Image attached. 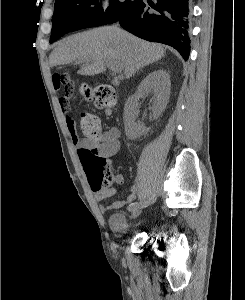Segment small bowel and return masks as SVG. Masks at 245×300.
Segmentation results:
<instances>
[{"label":"small bowel","mask_w":245,"mask_h":300,"mask_svg":"<svg viewBox=\"0 0 245 300\" xmlns=\"http://www.w3.org/2000/svg\"><path fill=\"white\" fill-rule=\"evenodd\" d=\"M59 103H60L61 110L64 114L66 127L70 134L72 144L77 148V152L79 155L80 149L90 148L92 144L85 139H80L79 136L77 135L76 122L72 117V115L70 114L69 104L66 97H61ZM120 145H121L120 131L116 127H111L101 134L100 142L97 146L98 155L108 160L109 158H111L112 156L118 153L120 149ZM113 179L117 184H122L124 181L123 175L120 173H116L113 176ZM137 192H138V187L136 185L132 186L130 194L127 196L126 200L116 201L110 206V208H119L125 202L133 201L136 198ZM114 194L115 191L113 189H110L106 192L95 194V199L96 201L100 202L107 197L113 196Z\"/></svg>","instance_id":"obj_1"}]
</instances>
